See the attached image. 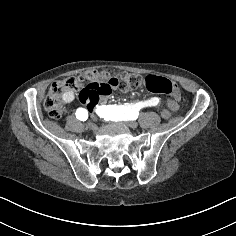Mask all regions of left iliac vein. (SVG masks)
<instances>
[{"label": "left iliac vein", "instance_id": "left-iliac-vein-1", "mask_svg": "<svg viewBox=\"0 0 236 236\" xmlns=\"http://www.w3.org/2000/svg\"><path fill=\"white\" fill-rule=\"evenodd\" d=\"M137 126H138L137 121H135V120L130 121V123H129L130 129H135V128H137Z\"/></svg>", "mask_w": 236, "mask_h": 236}]
</instances>
